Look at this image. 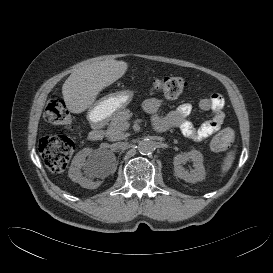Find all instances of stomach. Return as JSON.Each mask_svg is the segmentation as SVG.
<instances>
[{
  "label": "stomach",
  "mask_w": 273,
  "mask_h": 273,
  "mask_svg": "<svg viewBox=\"0 0 273 273\" xmlns=\"http://www.w3.org/2000/svg\"><path fill=\"white\" fill-rule=\"evenodd\" d=\"M133 91L121 90L110 93L92 105L87 117L92 123H100L111 119L132 101Z\"/></svg>",
  "instance_id": "1"
}]
</instances>
